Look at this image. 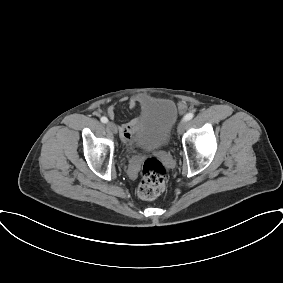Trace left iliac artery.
Returning <instances> with one entry per match:
<instances>
[{"label":"left iliac artery","mask_w":283,"mask_h":283,"mask_svg":"<svg viewBox=\"0 0 283 283\" xmlns=\"http://www.w3.org/2000/svg\"><path fill=\"white\" fill-rule=\"evenodd\" d=\"M194 117V114L193 113H188L184 116L183 120L185 121H189L191 120L192 118Z\"/></svg>","instance_id":"left-iliac-artery-1"}]
</instances>
